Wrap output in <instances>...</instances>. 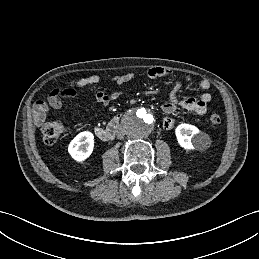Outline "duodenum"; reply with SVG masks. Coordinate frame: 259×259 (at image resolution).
<instances>
[{"label": "duodenum", "instance_id": "410a0bca", "mask_svg": "<svg viewBox=\"0 0 259 259\" xmlns=\"http://www.w3.org/2000/svg\"><path fill=\"white\" fill-rule=\"evenodd\" d=\"M120 128V116L114 117L106 127H97L96 134L102 141H111Z\"/></svg>", "mask_w": 259, "mask_h": 259}]
</instances>
